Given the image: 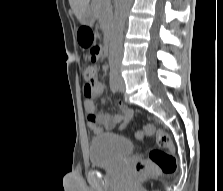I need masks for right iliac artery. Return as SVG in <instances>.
Returning <instances> with one entry per match:
<instances>
[{
	"label": "right iliac artery",
	"instance_id": "82829eb1",
	"mask_svg": "<svg viewBox=\"0 0 223 191\" xmlns=\"http://www.w3.org/2000/svg\"><path fill=\"white\" fill-rule=\"evenodd\" d=\"M118 69L117 67H111L110 69V88L113 93L118 91Z\"/></svg>",
	"mask_w": 223,
	"mask_h": 191
}]
</instances>
